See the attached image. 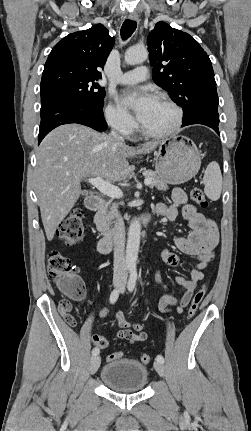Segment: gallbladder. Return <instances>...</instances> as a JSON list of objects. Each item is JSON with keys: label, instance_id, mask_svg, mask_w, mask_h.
<instances>
[{"label": "gallbladder", "instance_id": "bac80fb5", "mask_svg": "<svg viewBox=\"0 0 251 431\" xmlns=\"http://www.w3.org/2000/svg\"><path fill=\"white\" fill-rule=\"evenodd\" d=\"M87 194V191H82V195H86Z\"/></svg>", "mask_w": 251, "mask_h": 431}]
</instances>
